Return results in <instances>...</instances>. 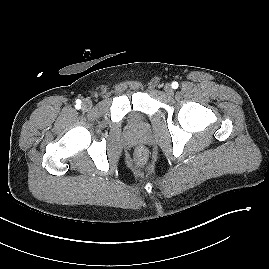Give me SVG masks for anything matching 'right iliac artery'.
<instances>
[{
	"instance_id": "1",
	"label": "right iliac artery",
	"mask_w": 269,
	"mask_h": 269,
	"mask_svg": "<svg viewBox=\"0 0 269 269\" xmlns=\"http://www.w3.org/2000/svg\"><path fill=\"white\" fill-rule=\"evenodd\" d=\"M80 104H81V101H78V102H77V107H78V108L81 106Z\"/></svg>"
}]
</instances>
